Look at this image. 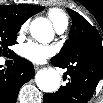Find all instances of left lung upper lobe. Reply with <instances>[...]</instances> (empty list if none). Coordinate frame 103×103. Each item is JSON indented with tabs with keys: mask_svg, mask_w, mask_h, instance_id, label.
Here are the masks:
<instances>
[{
	"mask_svg": "<svg viewBox=\"0 0 103 103\" xmlns=\"http://www.w3.org/2000/svg\"><path fill=\"white\" fill-rule=\"evenodd\" d=\"M67 11L72 18L69 39L54 58L60 60L69 59L73 54L77 53L90 56L91 52L87 43L89 40L101 39L98 31L79 13L71 9H67Z\"/></svg>",
	"mask_w": 103,
	"mask_h": 103,
	"instance_id": "obj_1",
	"label": "left lung upper lobe"
}]
</instances>
